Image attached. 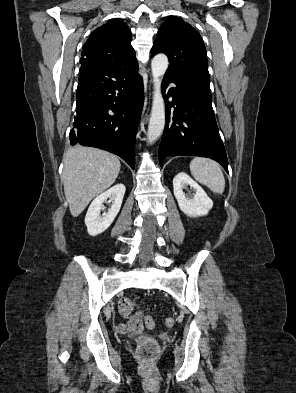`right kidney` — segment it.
I'll use <instances>...</instances> for the list:
<instances>
[{
  "label": "right kidney",
  "mask_w": 296,
  "mask_h": 393,
  "mask_svg": "<svg viewBox=\"0 0 296 393\" xmlns=\"http://www.w3.org/2000/svg\"><path fill=\"white\" fill-rule=\"evenodd\" d=\"M125 190V186L120 183L100 194L92 201L85 217V224L89 235H99L109 228L121 208ZM108 198L112 200L111 208L108 209L105 216L100 217V212L104 209L103 203Z\"/></svg>",
  "instance_id": "right-kidney-1"
}]
</instances>
